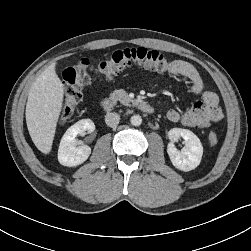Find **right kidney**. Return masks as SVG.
<instances>
[{
  "mask_svg": "<svg viewBox=\"0 0 251 251\" xmlns=\"http://www.w3.org/2000/svg\"><path fill=\"white\" fill-rule=\"evenodd\" d=\"M95 125L90 119H82L67 129L63 135L59 149L58 161L68 167H74L85 162L91 154V148L87 145L77 146L76 136L92 133Z\"/></svg>",
  "mask_w": 251,
  "mask_h": 251,
  "instance_id": "1",
  "label": "right kidney"
}]
</instances>
